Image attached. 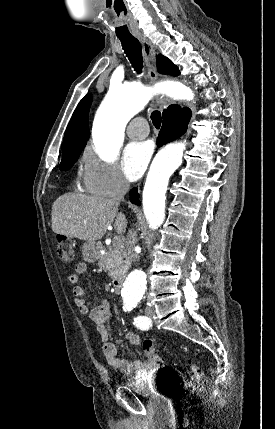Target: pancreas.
Segmentation results:
<instances>
[{
  "label": "pancreas",
  "instance_id": "obj_1",
  "mask_svg": "<svg viewBox=\"0 0 275 429\" xmlns=\"http://www.w3.org/2000/svg\"><path fill=\"white\" fill-rule=\"evenodd\" d=\"M124 253L120 241L114 242L103 255L99 256V264L108 271L109 276L115 278L124 270Z\"/></svg>",
  "mask_w": 275,
  "mask_h": 429
}]
</instances>
